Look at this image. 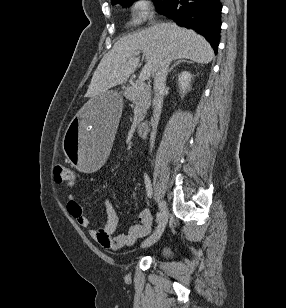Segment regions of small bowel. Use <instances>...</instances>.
Segmentation results:
<instances>
[{"mask_svg":"<svg viewBox=\"0 0 286 308\" xmlns=\"http://www.w3.org/2000/svg\"><path fill=\"white\" fill-rule=\"evenodd\" d=\"M106 211V222L89 230L90 237L106 249L120 251L131 246L139 238L149 234L152 228V217L147 210L139 213V223L132 225L126 233L115 235L119 217L112 199L106 198L103 203ZM67 211L82 228H89L90 220L85 214L83 205L74 197L67 198Z\"/></svg>","mask_w":286,"mask_h":308,"instance_id":"1","label":"small bowel"}]
</instances>
